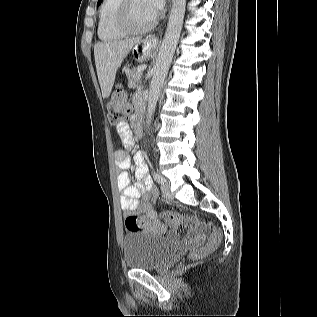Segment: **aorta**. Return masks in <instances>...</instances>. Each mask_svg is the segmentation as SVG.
<instances>
[{
    "label": "aorta",
    "instance_id": "obj_1",
    "mask_svg": "<svg viewBox=\"0 0 317 317\" xmlns=\"http://www.w3.org/2000/svg\"><path fill=\"white\" fill-rule=\"evenodd\" d=\"M186 0H172L171 13L164 39L159 49L158 58L153 67L149 87L147 126H150L161 88L167 76L183 25Z\"/></svg>",
    "mask_w": 317,
    "mask_h": 317
}]
</instances>
